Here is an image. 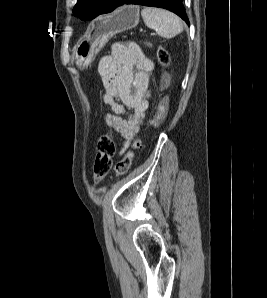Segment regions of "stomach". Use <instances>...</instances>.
Listing matches in <instances>:
<instances>
[{"instance_id": "1", "label": "stomach", "mask_w": 267, "mask_h": 298, "mask_svg": "<svg viewBox=\"0 0 267 298\" xmlns=\"http://www.w3.org/2000/svg\"><path fill=\"white\" fill-rule=\"evenodd\" d=\"M139 19V7L135 5H124L101 17L93 25L90 33L76 46L74 51L76 65L79 68L87 67L110 38L136 27Z\"/></svg>"}]
</instances>
